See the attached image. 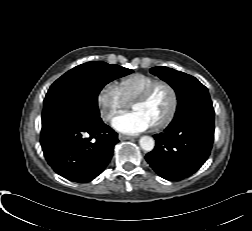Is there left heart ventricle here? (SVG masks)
I'll list each match as a JSON object with an SVG mask.
<instances>
[{
	"label": "left heart ventricle",
	"instance_id": "b2bd125f",
	"mask_svg": "<svg viewBox=\"0 0 252 231\" xmlns=\"http://www.w3.org/2000/svg\"><path fill=\"white\" fill-rule=\"evenodd\" d=\"M170 105V90L165 85H160L146 102L132 105V110L140 112L152 126L167 114Z\"/></svg>",
	"mask_w": 252,
	"mask_h": 231
}]
</instances>
